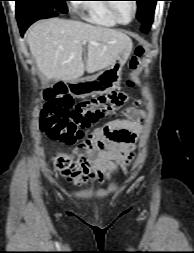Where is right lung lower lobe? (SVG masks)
<instances>
[{
  "label": "right lung lower lobe",
  "mask_w": 194,
  "mask_h": 253,
  "mask_svg": "<svg viewBox=\"0 0 194 253\" xmlns=\"http://www.w3.org/2000/svg\"><path fill=\"white\" fill-rule=\"evenodd\" d=\"M58 14H61L58 11H51L48 13H43L41 15H37L35 16L33 19H26V18H17L18 20V24H19V28H20V32L21 35L23 36L24 32L26 31V29L36 20L38 19H44V18H50V17H54Z\"/></svg>",
  "instance_id": "right-lung-lower-lobe-1"
}]
</instances>
